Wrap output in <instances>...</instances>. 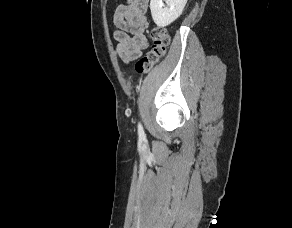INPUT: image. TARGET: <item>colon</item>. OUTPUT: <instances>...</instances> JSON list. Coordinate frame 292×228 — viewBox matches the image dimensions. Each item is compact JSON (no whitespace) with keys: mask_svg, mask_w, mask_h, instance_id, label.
I'll use <instances>...</instances> for the list:
<instances>
[{"mask_svg":"<svg viewBox=\"0 0 292 228\" xmlns=\"http://www.w3.org/2000/svg\"><path fill=\"white\" fill-rule=\"evenodd\" d=\"M149 38L153 44L151 50L135 65L137 73L140 74L149 72L165 55L170 44V34L167 29L162 27H154L149 33Z\"/></svg>","mask_w":292,"mask_h":228,"instance_id":"obj_1","label":"colon"}]
</instances>
